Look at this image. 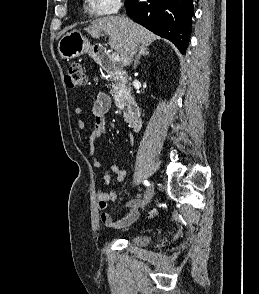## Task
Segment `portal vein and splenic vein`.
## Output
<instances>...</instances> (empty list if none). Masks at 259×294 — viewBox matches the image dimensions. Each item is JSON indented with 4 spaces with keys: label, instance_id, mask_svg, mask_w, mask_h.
<instances>
[{
    "label": "portal vein and splenic vein",
    "instance_id": "18ae733b",
    "mask_svg": "<svg viewBox=\"0 0 259 294\" xmlns=\"http://www.w3.org/2000/svg\"><path fill=\"white\" fill-rule=\"evenodd\" d=\"M111 60L113 61V62H120V56H119V54L118 53H112V56H111Z\"/></svg>",
    "mask_w": 259,
    "mask_h": 294
}]
</instances>
